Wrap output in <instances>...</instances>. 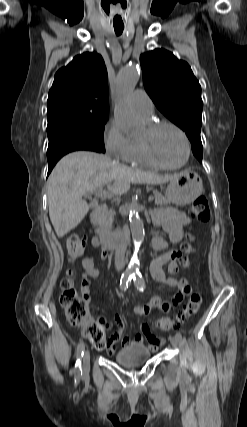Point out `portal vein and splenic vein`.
I'll return each mask as SVG.
<instances>
[{
	"instance_id": "18ae733b",
	"label": "portal vein and splenic vein",
	"mask_w": 247,
	"mask_h": 427,
	"mask_svg": "<svg viewBox=\"0 0 247 427\" xmlns=\"http://www.w3.org/2000/svg\"><path fill=\"white\" fill-rule=\"evenodd\" d=\"M95 195H96V196H99V197H111V196H112V193L107 192V191L102 190V189H98V190H96V191H95ZM153 199H154V197H153L152 195H150V196L148 197V201H149V202L153 201Z\"/></svg>"
}]
</instances>
